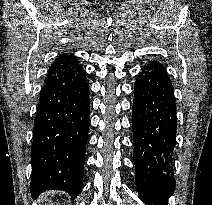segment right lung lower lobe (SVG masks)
Segmentation results:
<instances>
[{
    "instance_id": "obj_1",
    "label": "right lung lower lobe",
    "mask_w": 212,
    "mask_h": 205,
    "mask_svg": "<svg viewBox=\"0 0 212 205\" xmlns=\"http://www.w3.org/2000/svg\"><path fill=\"white\" fill-rule=\"evenodd\" d=\"M86 72L73 55L51 64L37 106L31 146L33 198L63 190L76 198L83 183L90 97Z\"/></svg>"
}]
</instances>
